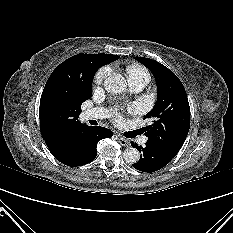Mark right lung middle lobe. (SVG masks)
Masks as SVG:
<instances>
[{"mask_svg":"<svg viewBox=\"0 0 233 233\" xmlns=\"http://www.w3.org/2000/svg\"><path fill=\"white\" fill-rule=\"evenodd\" d=\"M100 66L97 58L87 60L84 83L77 84L68 95L61 91H53L44 97L41 114L48 124L61 126L78 119L82 103L91 98L93 77Z\"/></svg>","mask_w":233,"mask_h":233,"instance_id":"obj_1","label":"right lung middle lobe"}]
</instances>
